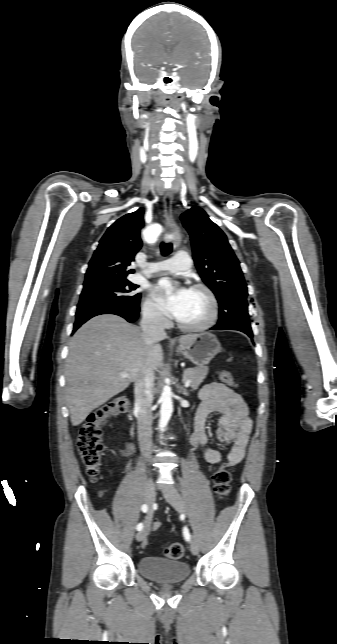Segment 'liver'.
Returning <instances> with one entry per match:
<instances>
[{
    "label": "liver",
    "instance_id": "1",
    "mask_svg": "<svg viewBox=\"0 0 337 644\" xmlns=\"http://www.w3.org/2000/svg\"><path fill=\"white\" fill-rule=\"evenodd\" d=\"M195 338L196 335H185L178 341L186 345ZM158 340L146 344L137 327L111 314L96 316L82 325L70 340L65 364L66 401L72 425H80L94 409L147 371L154 377L162 361ZM121 373L128 377H121Z\"/></svg>",
    "mask_w": 337,
    "mask_h": 644
}]
</instances>
